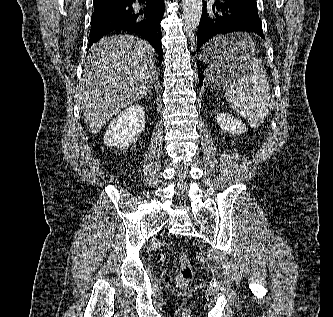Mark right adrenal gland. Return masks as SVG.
<instances>
[{"mask_svg":"<svg viewBox=\"0 0 333 317\" xmlns=\"http://www.w3.org/2000/svg\"><path fill=\"white\" fill-rule=\"evenodd\" d=\"M148 94H149V95H152V94H153L151 89L148 91Z\"/></svg>","mask_w":333,"mask_h":317,"instance_id":"obj_1","label":"right adrenal gland"}]
</instances>
